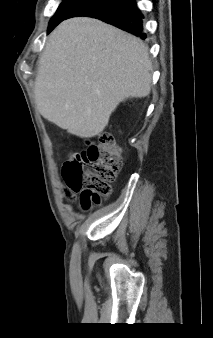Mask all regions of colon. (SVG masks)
Returning a JSON list of instances; mask_svg holds the SVG:
<instances>
[{
	"instance_id": "obj_1",
	"label": "colon",
	"mask_w": 213,
	"mask_h": 338,
	"mask_svg": "<svg viewBox=\"0 0 213 338\" xmlns=\"http://www.w3.org/2000/svg\"><path fill=\"white\" fill-rule=\"evenodd\" d=\"M122 151L112 136L102 134L88 141L85 150L74 152L62 166V178L72 193H81V207L89 211L111 192V182L122 167Z\"/></svg>"
}]
</instances>
